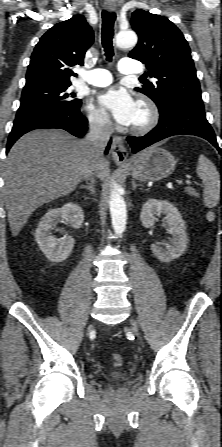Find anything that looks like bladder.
<instances>
[{
	"label": "bladder",
	"instance_id": "obj_1",
	"mask_svg": "<svg viewBox=\"0 0 222 447\" xmlns=\"http://www.w3.org/2000/svg\"><path fill=\"white\" fill-rule=\"evenodd\" d=\"M129 375L123 371H116L106 375L107 381L112 386H121L125 382H127Z\"/></svg>",
	"mask_w": 222,
	"mask_h": 447
}]
</instances>
